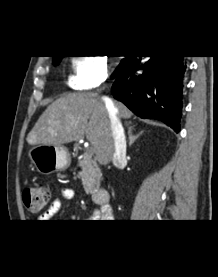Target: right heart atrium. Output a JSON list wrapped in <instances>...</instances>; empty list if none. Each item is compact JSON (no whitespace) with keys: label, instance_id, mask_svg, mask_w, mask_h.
<instances>
[{"label":"right heart atrium","instance_id":"right-heart-atrium-1","mask_svg":"<svg viewBox=\"0 0 218 277\" xmlns=\"http://www.w3.org/2000/svg\"><path fill=\"white\" fill-rule=\"evenodd\" d=\"M106 57L99 54L77 56L72 63L68 84L75 90H89L99 87L107 78Z\"/></svg>","mask_w":218,"mask_h":277}]
</instances>
